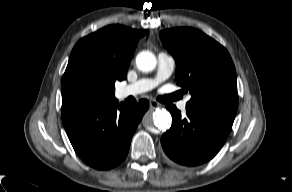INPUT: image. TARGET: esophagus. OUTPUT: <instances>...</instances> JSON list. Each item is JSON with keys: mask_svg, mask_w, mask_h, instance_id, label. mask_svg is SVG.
<instances>
[{"mask_svg": "<svg viewBox=\"0 0 292 192\" xmlns=\"http://www.w3.org/2000/svg\"><path fill=\"white\" fill-rule=\"evenodd\" d=\"M159 106H160V103H158L157 101H155V100L150 101V108L151 109H155Z\"/></svg>", "mask_w": 292, "mask_h": 192, "instance_id": "1", "label": "esophagus"}]
</instances>
